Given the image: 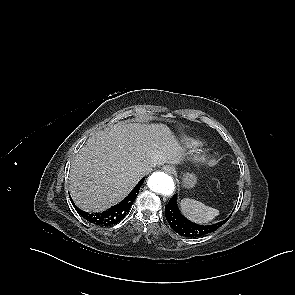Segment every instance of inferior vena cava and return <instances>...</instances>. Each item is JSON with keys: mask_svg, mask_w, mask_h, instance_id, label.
Returning a JSON list of instances; mask_svg holds the SVG:
<instances>
[{"mask_svg": "<svg viewBox=\"0 0 295 295\" xmlns=\"http://www.w3.org/2000/svg\"><path fill=\"white\" fill-rule=\"evenodd\" d=\"M151 171H152V168H148V169L142 170V173L145 175V174H148Z\"/></svg>", "mask_w": 295, "mask_h": 295, "instance_id": "602c4592", "label": "inferior vena cava"}]
</instances>
